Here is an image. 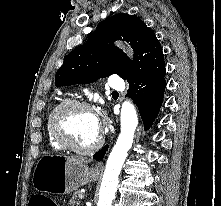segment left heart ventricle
<instances>
[{"instance_id":"left-heart-ventricle-1","label":"left heart ventricle","mask_w":221,"mask_h":206,"mask_svg":"<svg viewBox=\"0 0 221 206\" xmlns=\"http://www.w3.org/2000/svg\"><path fill=\"white\" fill-rule=\"evenodd\" d=\"M63 130L79 147L92 145L99 136L96 116L84 108H71L61 120Z\"/></svg>"}]
</instances>
